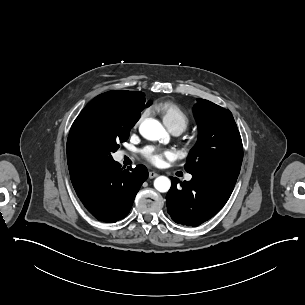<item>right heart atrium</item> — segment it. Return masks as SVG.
Segmentation results:
<instances>
[{
  "mask_svg": "<svg viewBox=\"0 0 305 305\" xmlns=\"http://www.w3.org/2000/svg\"><path fill=\"white\" fill-rule=\"evenodd\" d=\"M139 121H140V120H138V121L135 123V126H134V127H137V126H138Z\"/></svg>",
  "mask_w": 305,
  "mask_h": 305,
  "instance_id": "right-heart-atrium-1",
  "label": "right heart atrium"
}]
</instances>
